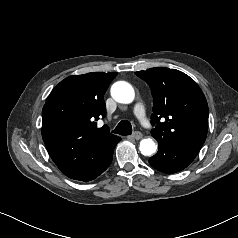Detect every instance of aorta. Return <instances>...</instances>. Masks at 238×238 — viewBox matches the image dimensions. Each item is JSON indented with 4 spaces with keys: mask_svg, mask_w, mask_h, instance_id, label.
<instances>
[{
    "mask_svg": "<svg viewBox=\"0 0 238 238\" xmlns=\"http://www.w3.org/2000/svg\"><path fill=\"white\" fill-rule=\"evenodd\" d=\"M111 95L113 99L119 103L129 104L133 102L135 92L133 87L125 82H115L111 87ZM157 146L151 138H145L140 141L139 150L145 156H151L156 152Z\"/></svg>",
    "mask_w": 238,
    "mask_h": 238,
    "instance_id": "aorta-1",
    "label": "aorta"
}]
</instances>
